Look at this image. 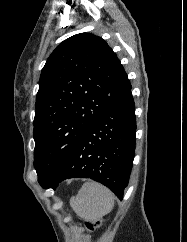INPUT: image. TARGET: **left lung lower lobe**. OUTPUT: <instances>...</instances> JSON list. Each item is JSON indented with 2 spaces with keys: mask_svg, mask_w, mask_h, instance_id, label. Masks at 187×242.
Masks as SVG:
<instances>
[{
  "mask_svg": "<svg viewBox=\"0 0 187 242\" xmlns=\"http://www.w3.org/2000/svg\"><path fill=\"white\" fill-rule=\"evenodd\" d=\"M135 106L131 89L85 131L74 149L51 173L38 176L43 188L64 179L91 178L123 198L135 153Z\"/></svg>",
  "mask_w": 187,
  "mask_h": 242,
  "instance_id": "1",
  "label": "left lung lower lobe"
}]
</instances>
